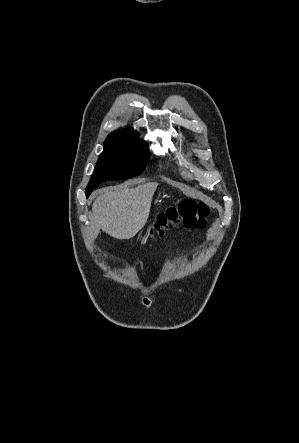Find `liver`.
<instances>
[{"instance_id": "obj_1", "label": "liver", "mask_w": 299, "mask_h": 443, "mask_svg": "<svg viewBox=\"0 0 299 443\" xmlns=\"http://www.w3.org/2000/svg\"><path fill=\"white\" fill-rule=\"evenodd\" d=\"M157 183H146L135 188L104 189L93 202L91 222L116 239L134 237L146 224Z\"/></svg>"}]
</instances>
